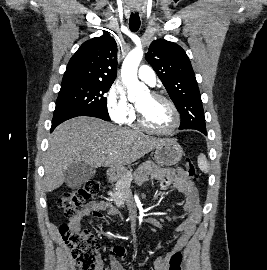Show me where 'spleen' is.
I'll list each match as a JSON object with an SVG mask.
<instances>
[{
	"label": "spleen",
	"mask_w": 267,
	"mask_h": 270,
	"mask_svg": "<svg viewBox=\"0 0 267 270\" xmlns=\"http://www.w3.org/2000/svg\"><path fill=\"white\" fill-rule=\"evenodd\" d=\"M197 161H198L199 169L204 173H208L209 172V164L207 162L206 156L204 154H200L198 156Z\"/></svg>",
	"instance_id": "3e777b00"
}]
</instances>
